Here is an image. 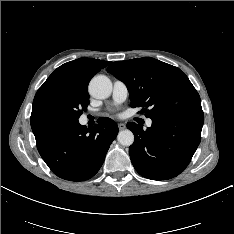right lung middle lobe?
<instances>
[{
    "label": "right lung middle lobe",
    "instance_id": "1",
    "mask_svg": "<svg viewBox=\"0 0 234 234\" xmlns=\"http://www.w3.org/2000/svg\"><path fill=\"white\" fill-rule=\"evenodd\" d=\"M89 105L88 92L60 89L50 93L42 102L40 117L78 120Z\"/></svg>",
    "mask_w": 234,
    "mask_h": 234
}]
</instances>
